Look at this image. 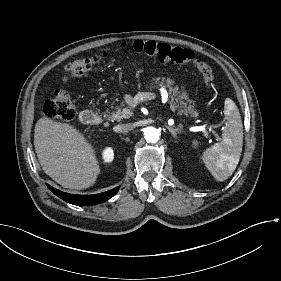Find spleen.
Masks as SVG:
<instances>
[{
  "instance_id": "1",
  "label": "spleen",
  "mask_w": 281,
  "mask_h": 281,
  "mask_svg": "<svg viewBox=\"0 0 281 281\" xmlns=\"http://www.w3.org/2000/svg\"><path fill=\"white\" fill-rule=\"evenodd\" d=\"M227 123L222 133V140L203 154L205 166L217 181H225L235 171L243 146V124L238 107L230 98L224 103Z\"/></svg>"
}]
</instances>
